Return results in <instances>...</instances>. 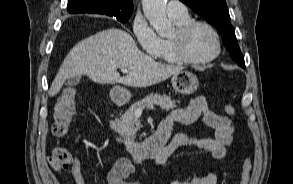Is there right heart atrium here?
<instances>
[{"mask_svg": "<svg viewBox=\"0 0 293 184\" xmlns=\"http://www.w3.org/2000/svg\"><path fill=\"white\" fill-rule=\"evenodd\" d=\"M132 32L144 52L155 57L160 49L161 38L144 16L137 15L132 22Z\"/></svg>", "mask_w": 293, "mask_h": 184, "instance_id": "obj_1", "label": "right heart atrium"}]
</instances>
